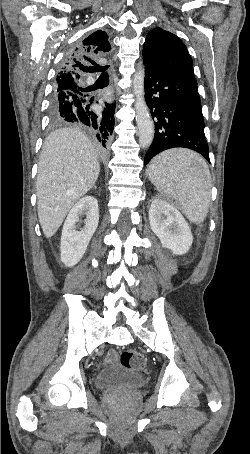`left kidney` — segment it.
Returning a JSON list of instances; mask_svg holds the SVG:
<instances>
[{"instance_id":"left-kidney-1","label":"left kidney","mask_w":250,"mask_h":454,"mask_svg":"<svg viewBox=\"0 0 250 454\" xmlns=\"http://www.w3.org/2000/svg\"><path fill=\"white\" fill-rule=\"evenodd\" d=\"M151 230L167 252L183 255L190 249L193 236L181 212L165 199L155 197L149 212Z\"/></svg>"}]
</instances>
